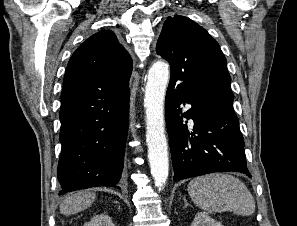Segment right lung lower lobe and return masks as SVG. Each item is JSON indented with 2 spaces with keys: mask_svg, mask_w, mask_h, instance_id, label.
<instances>
[{
  "mask_svg": "<svg viewBox=\"0 0 297 226\" xmlns=\"http://www.w3.org/2000/svg\"><path fill=\"white\" fill-rule=\"evenodd\" d=\"M128 106V87L62 100L59 195L95 186L120 188Z\"/></svg>",
  "mask_w": 297,
  "mask_h": 226,
  "instance_id": "obj_1",
  "label": "right lung lower lobe"
}]
</instances>
